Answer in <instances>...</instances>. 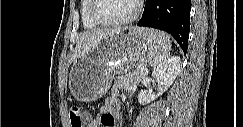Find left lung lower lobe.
I'll use <instances>...</instances> for the list:
<instances>
[{
  "label": "left lung lower lobe",
  "instance_id": "1",
  "mask_svg": "<svg viewBox=\"0 0 243 127\" xmlns=\"http://www.w3.org/2000/svg\"><path fill=\"white\" fill-rule=\"evenodd\" d=\"M191 0H146L137 26L152 27L170 33L182 48H188Z\"/></svg>",
  "mask_w": 243,
  "mask_h": 127
}]
</instances>
